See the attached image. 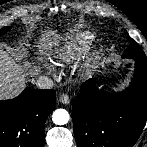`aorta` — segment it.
<instances>
[{"label": "aorta", "instance_id": "762f6f07", "mask_svg": "<svg viewBox=\"0 0 147 147\" xmlns=\"http://www.w3.org/2000/svg\"><path fill=\"white\" fill-rule=\"evenodd\" d=\"M69 113L65 109H57L54 111L52 120L56 125H65L69 121Z\"/></svg>", "mask_w": 147, "mask_h": 147}]
</instances>
